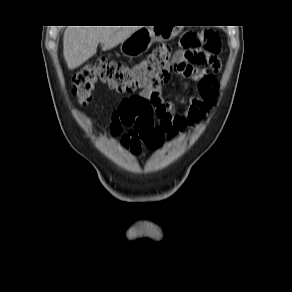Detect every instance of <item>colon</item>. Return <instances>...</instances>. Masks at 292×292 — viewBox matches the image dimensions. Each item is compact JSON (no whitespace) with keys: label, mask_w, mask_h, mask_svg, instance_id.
<instances>
[{"label":"colon","mask_w":292,"mask_h":292,"mask_svg":"<svg viewBox=\"0 0 292 292\" xmlns=\"http://www.w3.org/2000/svg\"><path fill=\"white\" fill-rule=\"evenodd\" d=\"M180 43L181 50L161 45L136 63L99 58L74 75L73 93L82 104H87L92 100L98 83L118 92L143 88L140 94L124 99L114 111L111 132L118 135L124 126H134L140 131L144 145L150 150H157L162 145V134L155 126L162 84L172 73L190 72L220 44V38L213 31H189L183 34Z\"/></svg>","instance_id":"colon-1"}]
</instances>
